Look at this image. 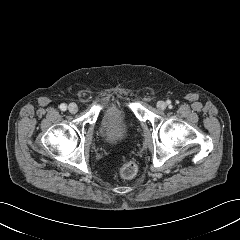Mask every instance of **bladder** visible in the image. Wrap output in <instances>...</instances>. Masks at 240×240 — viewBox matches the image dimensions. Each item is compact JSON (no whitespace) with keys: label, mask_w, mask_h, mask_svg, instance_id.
Instances as JSON below:
<instances>
[{"label":"bladder","mask_w":240,"mask_h":240,"mask_svg":"<svg viewBox=\"0 0 240 240\" xmlns=\"http://www.w3.org/2000/svg\"><path fill=\"white\" fill-rule=\"evenodd\" d=\"M103 126L110 142L114 145L127 140L133 127L126 114L118 109L108 111L104 118Z\"/></svg>","instance_id":"bladder-1"}]
</instances>
